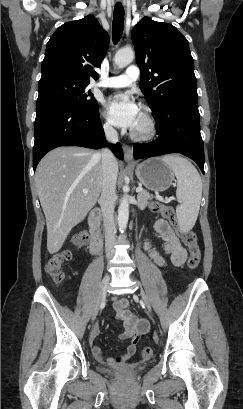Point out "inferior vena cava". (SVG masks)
<instances>
[{"mask_svg":"<svg viewBox=\"0 0 243 409\" xmlns=\"http://www.w3.org/2000/svg\"><path fill=\"white\" fill-rule=\"evenodd\" d=\"M104 132L106 139L109 142L117 143L118 134L112 126L105 125ZM100 154L102 156L103 181L99 203L103 215V224L105 230L106 257L110 259L114 252L113 246L116 235V227L114 221L117 181L116 158L113 153L107 148L102 149Z\"/></svg>","mask_w":243,"mask_h":409,"instance_id":"1","label":"inferior vena cava"}]
</instances>
